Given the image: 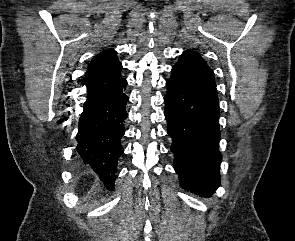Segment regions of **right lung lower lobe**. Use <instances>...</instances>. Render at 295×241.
<instances>
[{"instance_id": "obj_1", "label": "right lung lower lobe", "mask_w": 295, "mask_h": 241, "mask_svg": "<svg viewBox=\"0 0 295 241\" xmlns=\"http://www.w3.org/2000/svg\"><path fill=\"white\" fill-rule=\"evenodd\" d=\"M126 85L124 80L118 85L89 92L76 135L77 152L110 191L114 188L116 167L123 153L121 138L125 133V106L129 100L125 94Z\"/></svg>"}]
</instances>
